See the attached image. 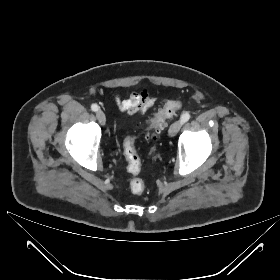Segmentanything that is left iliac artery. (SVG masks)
Segmentation results:
<instances>
[{
    "mask_svg": "<svg viewBox=\"0 0 280 280\" xmlns=\"http://www.w3.org/2000/svg\"><path fill=\"white\" fill-rule=\"evenodd\" d=\"M190 113L189 112H185L182 114L181 116V123L184 124L186 123L189 119H190Z\"/></svg>",
    "mask_w": 280,
    "mask_h": 280,
    "instance_id": "44dca946",
    "label": "left iliac artery"
}]
</instances>
